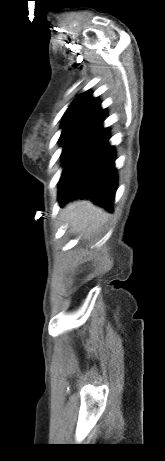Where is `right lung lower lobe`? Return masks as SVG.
I'll use <instances>...</instances> for the list:
<instances>
[{
    "mask_svg": "<svg viewBox=\"0 0 165 461\" xmlns=\"http://www.w3.org/2000/svg\"><path fill=\"white\" fill-rule=\"evenodd\" d=\"M109 138V128L101 130L64 170L59 182L61 206L72 198H89L112 211L117 170Z\"/></svg>",
    "mask_w": 165,
    "mask_h": 461,
    "instance_id": "obj_1",
    "label": "right lung lower lobe"
}]
</instances>
